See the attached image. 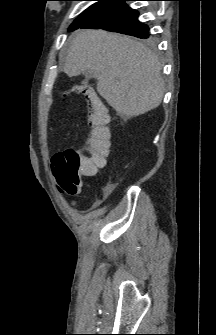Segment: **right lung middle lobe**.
Returning a JSON list of instances; mask_svg holds the SVG:
<instances>
[{
    "label": "right lung middle lobe",
    "mask_w": 216,
    "mask_h": 335,
    "mask_svg": "<svg viewBox=\"0 0 216 335\" xmlns=\"http://www.w3.org/2000/svg\"><path fill=\"white\" fill-rule=\"evenodd\" d=\"M97 1L95 4L86 9L70 26L69 31H74L80 26L90 21L95 16L101 14L119 0H92Z\"/></svg>",
    "instance_id": "obj_1"
}]
</instances>
